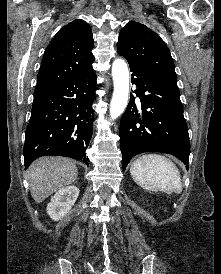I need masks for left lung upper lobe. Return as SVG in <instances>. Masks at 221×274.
Segmentation results:
<instances>
[{"label":"left lung upper lobe","mask_w":221,"mask_h":274,"mask_svg":"<svg viewBox=\"0 0 221 274\" xmlns=\"http://www.w3.org/2000/svg\"><path fill=\"white\" fill-rule=\"evenodd\" d=\"M117 52L134 64L177 84L174 62L163 40L145 25L130 21L120 31Z\"/></svg>","instance_id":"5c2ea615"}]
</instances>
